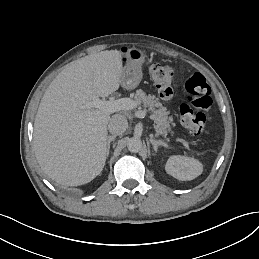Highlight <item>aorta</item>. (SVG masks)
I'll use <instances>...</instances> for the list:
<instances>
[{
    "label": "aorta",
    "mask_w": 259,
    "mask_h": 259,
    "mask_svg": "<svg viewBox=\"0 0 259 259\" xmlns=\"http://www.w3.org/2000/svg\"><path fill=\"white\" fill-rule=\"evenodd\" d=\"M142 141L139 138L132 137L127 141V148L132 153H137L142 149Z\"/></svg>",
    "instance_id": "762f6f07"
}]
</instances>
